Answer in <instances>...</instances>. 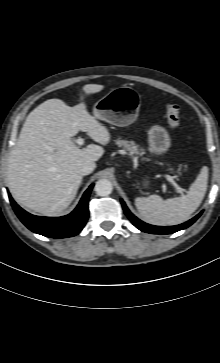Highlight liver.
<instances>
[{
    "mask_svg": "<svg viewBox=\"0 0 220 363\" xmlns=\"http://www.w3.org/2000/svg\"><path fill=\"white\" fill-rule=\"evenodd\" d=\"M103 89L87 84L82 90L88 96ZM79 131L101 145L111 138L84 101L69 107L60 99H49L29 113L7 167L8 186L17 203L44 216L67 209L82 182L81 164L98 161L104 154L98 145L77 147L71 138Z\"/></svg>",
    "mask_w": 220,
    "mask_h": 363,
    "instance_id": "obj_1",
    "label": "liver"
}]
</instances>
